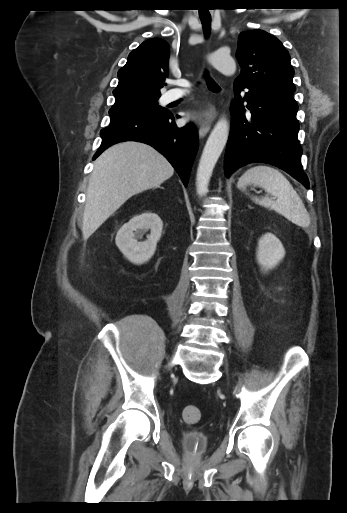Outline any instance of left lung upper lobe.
I'll use <instances>...</instances> for the list:
<instances>
[{
	"label": "left lung upper lobe",
	"instance_id": "obj_1",
	"mask_svg": "<svg viewBox=\"0 0 347 513\" xmlns=\"http://www.w3.org/2000/svg\"><path fill=\"white\" fill-rule=\"evenodd\" d=\"M236 58L241 74L234 83L295 90L290 55L283 44L269 33L259 29L240 33Z\"/></svg>",
	"mask_w": 347,
	"mask_h": 513
}]
</instances>
